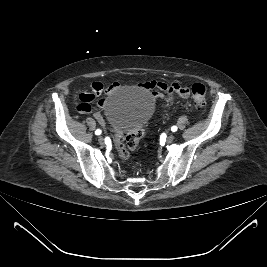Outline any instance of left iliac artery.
I'll list each match as a JSON object with an SVG mask.
<instances>
[{"label":"left iliac artery","mask_w":267,"mask_h":267,"mask_svg":"<svg viewBox=\"0 0 267 267\" xmlns=\"http://www.w3.org/2000/svg\"><path fill=\"white\" fill-rule=\"evenodd\" d=\"M171 130H172L173 132L177 131V127H176V126H173V127L171 128Z\"/></svg>","instance_id":"44dca946"}]
</instances>
